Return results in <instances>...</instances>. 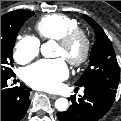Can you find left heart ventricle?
Returning a JSON list of instances; mask_svg holds the SVG:
<instances>
[{"label":"left heart ventricle","mask_w":121,"mask_h":121,"mask_svg":"<svg viewBox=\"0 0 121 121\" xmlns=\"http://www.w3.org/2000/svg\"><path fill=\"white\" fill-rule=\"evenodd\" d=\"M81 51H82L81 41H77L76 43H74L71 46V48H69L68 50L64 49L61 45L58 44L55 56L63 57V58L75 57V56H78L81 53Z\"/></svg>","instance_id":"left-heart-ventricle-1"}]
</instances>
